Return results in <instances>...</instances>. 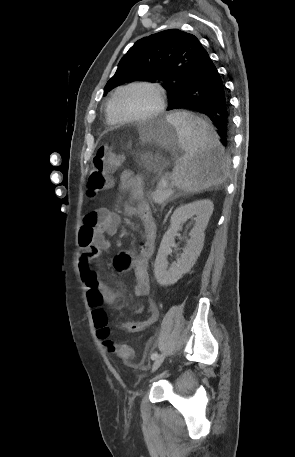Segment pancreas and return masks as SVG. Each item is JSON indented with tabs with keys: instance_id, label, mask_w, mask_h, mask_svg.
<instances>
[{
	"instance_id": "pancreas-1",
	"label": "pancreas",
	"mask_w": 295,
	"mask_h": 457,
	"mask_svg": "<svg viewBox=\"0 0 295 457\" xmlns=\"http://www.w3.org/2000/svg\"><path fill=\"white\" fill-rule=\"evenodd\" d=\"M172 193L173 191L168 185L162 186L159 182L157 189L150 191V198L155 203L163 204L168 198H171Z\"/></svg>"
}]
</instances>
